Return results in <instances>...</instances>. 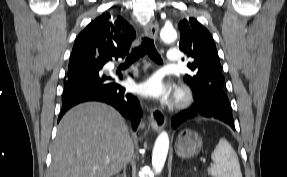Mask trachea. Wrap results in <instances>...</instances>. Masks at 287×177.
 Returning <instances> with one entry per match:
<instances>
[{
  "mask_svg": "<svg viewBox=\"0 0 287 177\" xmlns=\"http://www.w3.org/2000/svg\"><path fill=\"white\" fill-rule=\"evenodd\" d=\"M145 54H148V56L156 63H162V59L155 48L153 39L148 37H144L142 39L141 46L133 49L132 52L128 55L126 61H136Z\"/></svg>",
  "mask_w": 287,
  "mask_h": 177,
  "instance_id": "3493384b",
  "label": "trachea"
}]
</instances>
